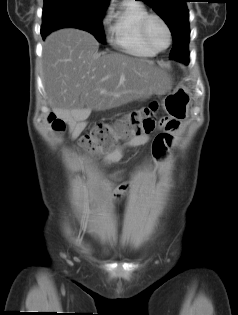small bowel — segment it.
<instances>
[{
    "label": "small bowel",
    "mask_w": 238,
    "mask_h": 315,
    "mask_svg": "<svg viewBox=\"0 0 238 315\" xmlns=\"http://www.w3.org/2000/svg\"><path fill=\"white\" fill-rule=\"evenodd\" d=\"M165 126L168 129H172L174 124L172 122H167ZM84 127L83 122H76L71 125V134L72 136H76L78 133L82 131ZM149 141V147H153V153L155 158L161 163L162 166L166 165V154L165 147H177V140H170V136L167 133H160L156 137H152V140H149V135L142 134L139 136H134L125 142L123 145L116 147L110 151H108L103 156V163L106 166H110L111 164L119 161L125 150L132 147H137L146 144ZM128 170H121L113 174L112 180H120L123 179ZM161 171L158 170L157 174H160ZM138 177L142 178L144 176L138 175ZM131 187V183L126 181L116 186V195L118 199H122L128 192ZM113 244L115 247H120L123 243L122 237L119 235H114Z\"/></svg>",
    "instance_id": "c3829d8e"
}]
</instances>
